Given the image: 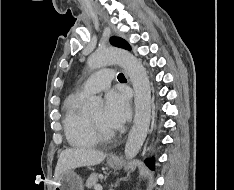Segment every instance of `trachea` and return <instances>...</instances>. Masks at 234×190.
Returning a JSON list of instances; mask_svg holds the SVG:
<instances>
[{"instance_id": "3493384b", "label": "trachea", "mask_w": 234, "mask_h": 190, "mask_svg": "<svg viewBox=\"0 0 234 190\" xmlns=\"http://www.w3.org/2000/svg\"><path fill=\"white\" fill-rule=\"evenodd\" d=\"M124 79H125V76L122 73H120L118 75V80H124Z\"/></svg>"}]
</instances>
